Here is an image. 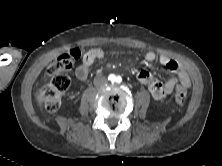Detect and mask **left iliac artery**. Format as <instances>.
Segmentation results:
<instances>
[{"label": "left iliac artery", "mask_w": 222, "mask_h": 166, "mask_svg": "<svg viewBox=\"0 0 222 166\" xmlns=\"http://www.w3.org/2000/svg\"><path fill=\"white\" fill-rule=\"evenodd\" d=\"M117 80H118V81H121V77L118 76V77H117Z\"/></svg>", "instance_id": "1"}]
</instances>
